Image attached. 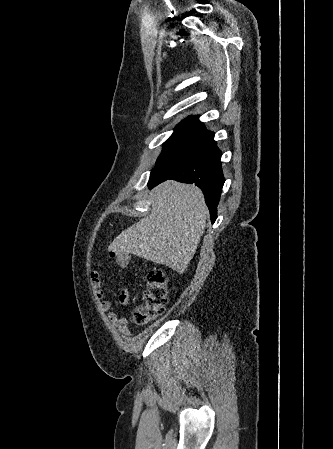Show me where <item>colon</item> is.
Listing matches in <instances>:
<instances>
[{
    "mask_svg": "<svg viewBox=\"0 0 333 449\" xmlns=\"http://www.w3.org/2000/svg\"><path fill=\"white\" fill-rule=\"evenodd\" d=\"M108 259L116 266L124 268L128 265L129 254L122 251H112ZM168 300L167 280L163 271L152 270L146 280V292L140 305L133 311V321L145 324L155 319L164 310Z\"/></svg>",
    "mask_w": 333,
    "mask_h": 449,
    "instance_id": "obj_1",
    "label": "colon"
}]
</instances>
